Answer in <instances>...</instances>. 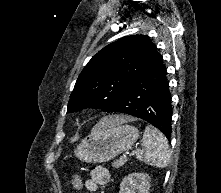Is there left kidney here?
Masks as SVG:
<instances>
[{
    "label": "left kidney",
    "mask_w": 221,
    "mask_h": 193,
    "mask_svg": "<svg viewBox=\"0 0 221 193\" xmlns=\"http://www.w3.org/2000/svg\"><path fill=\"white\" fill-rule=\"evenodd\" d=\"M150 177L145 173H132L120 184L119 193H149Z\"/></svg>",
    "instance_id": "obj_1"
}]
</instances>
